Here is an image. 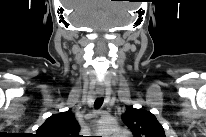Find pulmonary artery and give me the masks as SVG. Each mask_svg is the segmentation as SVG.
I'll use <instances>...</instances> for the list:
<instances>
[{
  "mask_svg": "<svg viewBox=\"0 0 206 137\" xmlns=\"http://www.w3.org/2000/svg\"><path fill=\"white\" fill-rule=\"evenodd\" d=\"M111 137H128V134L124 130H118Z\"/></svg>",
  "mask_w": 206,
  "mask_h": 137,
  "instance_id": "obj_1",
  "label": "pulmonary artery"
}]
</instances>
